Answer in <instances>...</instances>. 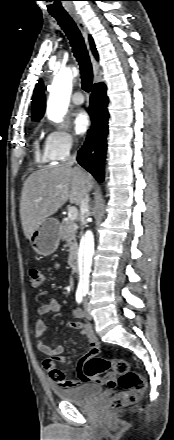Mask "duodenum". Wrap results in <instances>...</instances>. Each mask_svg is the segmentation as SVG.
<instances>
[{
	"mask_svg": "<svg viewBox=\"0 0 174 440\" xmlns=\"http://www.w3.org/2000/svg\"><path fill=\"white\" fill-rule=\"evenodd\" d=\"M69 266L71 268L72 271H78L79 269V262L78 259L76 257V255H73L69 261Z\"/></svg>",
	"mask_w": 174,
	"mask_h": 440,
	"instance_id": "410a0bca",
	"label": "duodenum"
}]
</instances>
